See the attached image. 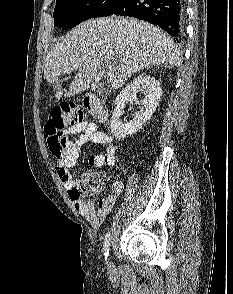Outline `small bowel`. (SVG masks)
Returning <instances> with one entry per match:
<instances>
[{
  "instance_id": "small-bowel-1",
  "label": "small bowel",
  "mask_w": 233,
  "mask_h": 294,
  "mask_svg": "<svg viewBox=\"0 0 233 294\" xmlns=\"http://www.w3.org/2000/svg\"><path fill=\"white\" fill-rule=\"evenodd\" d=\"M70 134H79V138L68 146L62 159L57 160L55 171L62 185L67 190L77 211L89 222V224L98 228L113 209L117 199L123 191V183L116 181L111 186L109 192L98 201V204L92 199L85 200L75 194L76 183L70 173L72 168L80 157L81 146L91 142L105 146L104 154H92L89 158V164L95 167L113 166L115 164V154L117 146L112 138L106 133L100 131L94 122L84 121L75 125L69 132Z\"/></svg>"
}]
</instances>
